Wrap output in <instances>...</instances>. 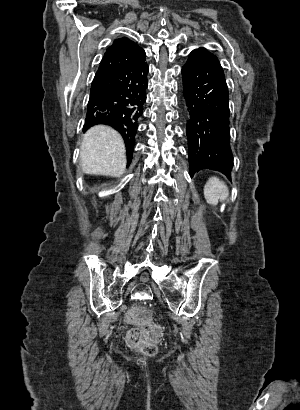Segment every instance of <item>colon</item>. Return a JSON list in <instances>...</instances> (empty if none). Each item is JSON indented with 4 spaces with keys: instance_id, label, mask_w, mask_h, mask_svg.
<instances>
[{
    "instance_id": "1",
    "label": "colon",
    "mask_w": 300,
    "mask_h": 410,
    "mask_svg": "<svg viewBox=\"0 0 300 410\" xmlns=\"http://www.w3.org/2000/svg\"><path fill=\"white\" fill-rule=\"evenodd\" d=\"M127 320L135 325L126 337L130 348L139 350L148 355L157 351V344L162 337V329L150 318L148 311L140 306L130 308L126 314Z\"/></svg>"
}]
</instances>
